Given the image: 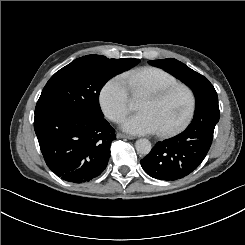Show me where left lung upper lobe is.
<instances>
[{
	"mask_svg": "<svg viewBox=\"0 0 245 245\" xmlns=\"http://www.w3.org/2000/svg\"><path fill=\"white\" fill-rule=\"evenodd\" d=\"M149 64L164 69L186 83L192 89L194 95L200 93L204 86L211 84L204 76L176 59L153 60L149 61Z\"/></svg>",
	"mask_w": 245,
	"mask_h": 245,
	"instance_id": "obj_1",
	"label": "left lung upper lobe"
}]
</instances>
